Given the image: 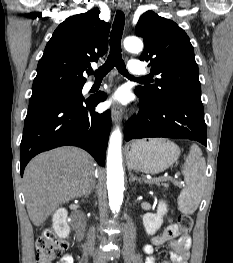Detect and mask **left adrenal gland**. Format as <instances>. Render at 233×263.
Returning a JSON list of instances; mask_svg holds the SVG:
<instances>
[{
    "instance_id": "left-adrenal-gland-1",
    "label": "left adrenal gland",
    "mask_w": 233,
    "mask_h": 263,
    "mask_svg": "<svg viewBox=\"0 0 233 263\" xmlns=\"http://www.w3.org/2000/svg\"><path fill=\"white\" fill-rule=\"evenodd\" d=\"M130 174V178H129V182H133V181H137V182H142L141 178H138L137 176H134L131 172H129Z\"/></svg>"
}]
</instances>
